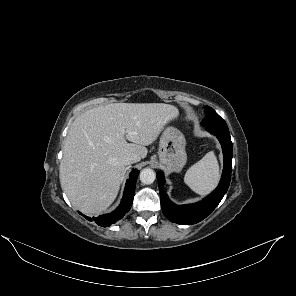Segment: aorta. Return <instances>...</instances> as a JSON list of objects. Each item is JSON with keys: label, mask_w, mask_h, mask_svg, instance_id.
<instances>
[{"label": "aorta", "mask_w": 296, "mask_h": 296, "mask_svg": "<svg viewBox=\"0 0 296 296\" xmlns=\"http://www.w3.org/2000/svg\"><path fill=\"white\" fill-rule=\"evenodd\" d=\"M156 178L155 172L150 168H145L140 172V181L143 184H151Z\"/></svg>", "instance_id": "1"}]
</instances>
